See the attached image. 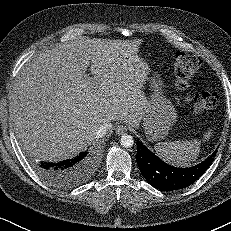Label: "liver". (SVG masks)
<instances>
[{
  "mask_svg": "<svg viewBox=\"0 0 231 231\" xmlns=\"http://www.w3.org/2000/svg\"><path fill=\"white\" fill-rule=\"evenodd\" d=\"M141 44L142 39L83 36L27 61L10 105L23 147L41 160L61 161L96 140L102 124L120 120L137 126L148 104L141 91L149 74L137 55Z\"/></svg>",
  "mask_w": 231,
  "mask_h": 231,
  "instance_id": "6515ba94",
  "label": "liver"
}]
</instances>
